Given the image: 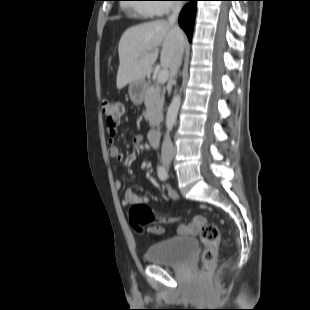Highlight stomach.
Returning <instances> with one entry per match:
<instances>
[{"instance_id":"obj_1","label":"stomach","mask_w":310,"mask_h":310,"mask_svg":"<svg viewBox=\"0 0 310 310\" xmlns=\"http://www.w3.org/2000/svg\"><path fill=\"white\" fill-rule=\"evenodd\" d=\"M145 83L144 81H133L129 83L128 87V93L130 96V99L135 104H141L144 98L145 93Z\"/></svg>"}]
</instances>
